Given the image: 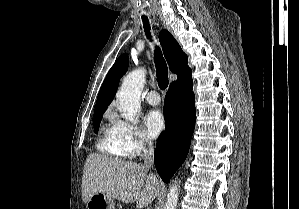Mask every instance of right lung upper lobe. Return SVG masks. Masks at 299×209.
Masks as SVG:
<instances>
[{
    "instance_id": "cb5924a9",
    "label": "right lung upper lobe",
    "mask_w": 299,
    "mask_h": 209,
    "mask_svg": "<svg viewBox=\"0 0 299 209\" xmlns=\"http://www.w3.org/2000/svg\"><path fill=\"white\" fill-rule=\"evenodd\" d=\"M159 41L170 70L178 75L177 80L171 85L191 79L192 72L187 65V55L182 51L174 37L167 30H162L159 33ZM128 63L127 54H123L111 67L99 91L94 113H104L112 102L119 84V78L126 72Z\"/></svg>"
}]
</instances>
